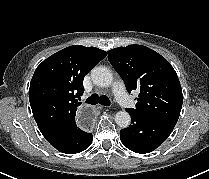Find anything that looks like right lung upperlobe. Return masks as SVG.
Here are the masks:
<instances>
[{
	"label": "right lung upper lobe",
	"mask_w": 209,
	"mask_h": 179,
	"mask_svg": "<svg viewBox=\"0 0 209 179\" xmlns=\"http://www.w3.org/2000/svg\"><path fill=\"white\" fill-rule=\"evenodd\" d=\"M105 57L106 52L101 49L74 45L48 57L36 68L29 101L47 141L75 123L84 76Z\"/></svg>",
	"instance_id": "1"
}]
</instances>
